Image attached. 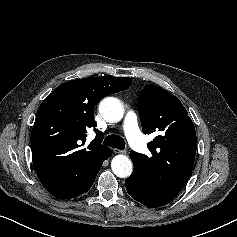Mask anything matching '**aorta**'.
Returning a JSON list of instances; mask_svg holds the SVG:
<instances>
[{"label": "aorta", "instance_id": "762f6f07", "mask_svg": "<svg viewBox=\"0 0 237 237\" xmlns=\"http://www.w3.org/2000/svg\"><path fill=\"white\" fill-rule=\"evenodd\" d=\"M99 112L108 122H118L124 114L121 102L114 97H106L99 104ZM113 173L120 178L131 175L133 166L131 160L125 155H116L111 162Z\"/></svg>", "mask_w": 237, "mask_h": 237}]
</instances>
